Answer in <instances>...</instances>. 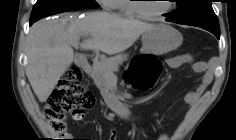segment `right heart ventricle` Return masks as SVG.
<instances>
[{"mask_svg": "<svg viewBox=\"0 0 236 140\" xmlns=\"http://www.w3.org/2000/svg\"><path fill=\"white\" fill-rule=\"evenodd\" d=\"M110 4L112 5L113 9L119 11L122 15H134V12L130 7V0H111Z\"/></svg>", "mask_w": 236, "mask_h": 140, "instance_id": "obj_1", "label": "right heart ventricle"}]
</instances>
